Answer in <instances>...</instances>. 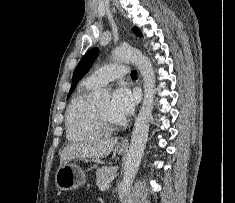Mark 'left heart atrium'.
Here are the masks:
<instances>
[{"label":"left heart atrium","instance_id":"39dd6f15","mask_svg":"<svg viewBox=\"0 0 235 203\" xmlns=\"http://www.w3.org/2000/svg\"><path fill=\"white\" fill-rule=\"evenodd\" d=\"M137 96L126 86L115 89L109 104V113L117 121H124L134 110Z\"/></svg>","mask_w":235,"mask_h":203}]
</instances>
